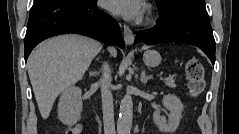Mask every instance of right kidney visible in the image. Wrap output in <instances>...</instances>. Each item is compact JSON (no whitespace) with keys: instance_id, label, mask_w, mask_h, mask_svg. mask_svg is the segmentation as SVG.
Returning <instances> with one entry per match:
<instances>
[{"instance_id":"1","label":"right kidney","mask_w":239,"mask_h":134,"mask_svg":"<svg viewBox=\"0 0 239 134\" xmlns=\"http://www.w3.org/2000/svg\"><path fill=\"white\" fill-rule=\"evenodd\" d=\"M81 95V89L76 86H71L62 93L58 104V116L63 124L73 125L80 119L83 105Z\"/></svg>"}]
</instances>
